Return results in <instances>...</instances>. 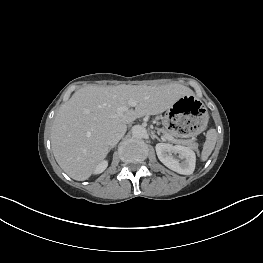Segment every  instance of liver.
<instances>
[{"mask_svg": "<svg viewBox=\"0 0 263 263\" xmlns=\"http://www.w3.org/2000/svg\"><path fill=\"white\" fill-rule=\"evenodd\" d=\"M185 95L193 91L180 84L88 85L77 90L53 121L51 146L58 165L72 179L87 180L110 150L111 131L145 115L160 114ZM129 101L136 102L135 109L118 114L117 109Z\"/></svg>", "mask_w": 263, "mask_h": 263, "instance_id": "obj_1", "label": "liver"}]
</instances>
